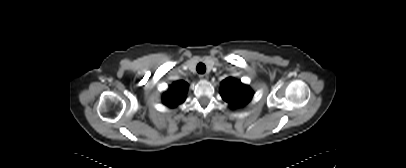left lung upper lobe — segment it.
I'll list each match as a JSON object with an SVG mask.
<instances>
[{"label":"left lung upper lobe","mask_w":406,"mask_h":168,"mask_svg":"<svg viewBox=\"0 0 406 168\" xmlns=\"http://www.w3.org/2000/svg\"><path fill=\"white\" fill-rule=\"evenodd\" d=\"M220 93L226 102L238 108L245 106L253 96V91L249 86L232 77L221 82Z\"/></svg>","instance_id":"1"}]
</instances>
